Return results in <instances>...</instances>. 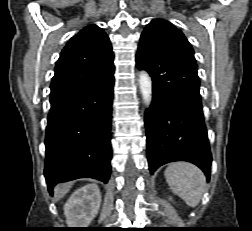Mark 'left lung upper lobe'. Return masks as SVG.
<instances>
[{"label": "left lung upper lobe", "instance_id": "left-lung-upper-lobe-1", "mask_svg": "<svg viewBox=\"0 0 252 231\" xmlns=\"http://www.w3.org/2000/svg\"><path fill=\"white\" fill-rule=\"evenodd\" d=\"M138 48L175 51L194 58V51L181 30L163 19H153L144 29Z\"/></svg>", "mask_w": 252, "mask_h": 231}]
</instances>
